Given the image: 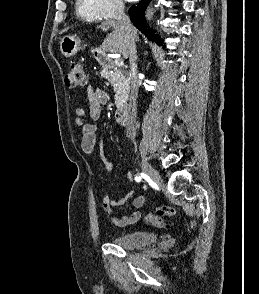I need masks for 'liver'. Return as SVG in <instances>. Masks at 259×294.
<instances>
[{
    "label": "liver",
    "instance_id": "obj_1",
    "mask_svg": "<svg viewBox=\"0 0 259 294\" xmlns=\"http://www.w3.org/2000/svg\"><path fill=\"white\" fill-rule=\"evenodd\" d=\"M98 28L102 29L103 31H107L110 28L113 29V31L108 34L102 44V51L110 53H120L125 59H127L129 57L127 39L125 37L124 31L120 29L117 21H104ZM137 39V31L135 29V40Z\"/></svg>",
    "mask_w": 259,
    "mask_h": 294
}]
</instances>
